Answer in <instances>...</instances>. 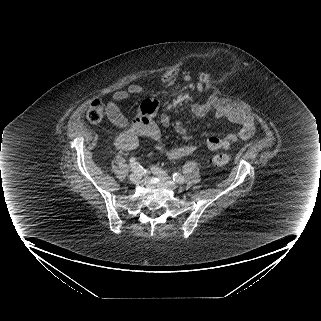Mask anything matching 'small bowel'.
I'll use <instances>...</instances> for the list:
<instances>
[{
	"mask_svg": "<svg viewBox=\"0 0 321 321\" xmlns=\"http://www.w3.org/2000/svg\"><path fill=\"white\" fill-rule=\"evenodd\" d=\"M200 90L201 86L198 85ZM140 92L139 86H131L127 91H119L115 93L107 103L108 115L110 121L118 128H123L121 133L116 138V147L123 151L135 149L139 144V137L146 136L153 139L156 143L155 149L158 154L168 160H177L189 156L195 152L194 146H181L167 150L161 143V133L154 117L158 116L159 121L163 126L170 124L169 115L161 112L160 104L156 99H149L142 103L141 113L143 117L133 123H129L127 118L119 108V102ZM214 107L212 100H207L202 103H197L191 106V112L202 117L211 111ZM215 116L218 119H223L233 124L239 125L240 130L236 133H229L225 136H210L206 140V145L210 150L230 149L241 140L250 139L255 131L256 125L254 119L248 113L235 109L219 107L215 110ZM175 131L179 135L186 133L185 128L178 124L175 126Z\"/></svg>",
	"mask_w": 321,
	"mask_h": 321,
	"instance_id": "obj_1",
	"label": "small bowel"
}]
</instances>
